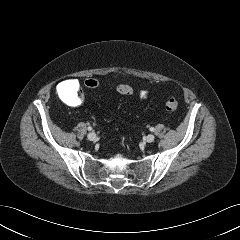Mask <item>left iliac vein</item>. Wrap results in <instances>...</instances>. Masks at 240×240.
Returning <instances> with one entry per match:
<instances>
[{"mask_svg":"<svg viewBox=\"0 0 240 240\" xmlns=\"http://www.w3.org/2000/svg\"><path fill=\"white\" fill-rule=\"evenodd\" d=\"M154 140H155V136L152 134H149L145 137V141L148 143H152V142H154Z\"/></svg>","mask_w":240,"mask_h":240,"instance_id":"4c4485c4","label":"left iliac vein"}]
</instances>
